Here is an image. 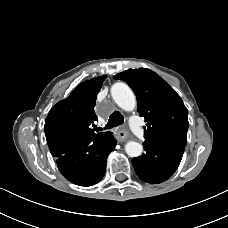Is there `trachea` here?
Returning <instances> with one entry per match:
<instances>
[{"label":"trachea","instance_id":"3493384b","mask_svg":"<svg viewBox=\"0 0 228 228\" xmlns=\"http://www.w3.org/2000/svg\"><path fill=\"white\" fill-rule=\"evenodd\" d=\"M123 122H124L123 115L119 111H114L110 115L109 120H108L107 124L105 125L104 129H110V128H113L116 126H120L123 124ZM97 130L101 131L102 128L98 127Z\"/></svg>","mask_w":228,"mask_h":228}]
</instances>
